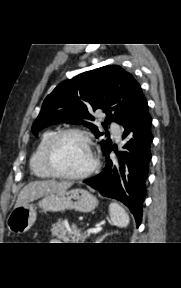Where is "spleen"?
<instances>
[{"label":"spleen","instance_id":"obj_1","mask_svg":"<svg viewBox=\"0 0 181 288\" xmlns=\"http://www.w3.org/2000/svg\"><path fill=\"white\" fill-rule=\"evenodd\" d=\"M109 214L111 222L120 228L127 227L130 222L129 215L126 213L125 209L118 203H111L109 205Z\"/></svg>","mask_w":181,"mask_h":288}]
</instances>
